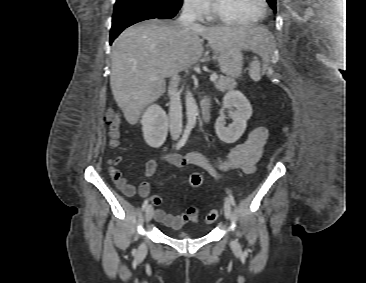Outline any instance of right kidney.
I'll use <instances>...</instances> for the list:
<instances>
[{
  "instance_id": "ca27d5eb",
  "label": "right kidney",
  "mask_w": 366,
  "mask_h": 283,
  "mask_svg": "<svg viewBox=\"0 0 366 283\" xmlns=\"http://www.w3.org/2000/svg\"><path fill=\"white\" fill-rule=\"evenodd\" d=\"M168 116L157 104L150 105L142 115L141 124L145 142L153 148L162 146L167 137Z\"/></svg>"
}]
</instances>
